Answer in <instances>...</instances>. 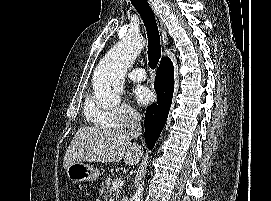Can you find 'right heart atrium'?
<instances>
[{
    "mask_svg": "<svg viewBox=\"0 0 271 201\" xmlns=\"http://www.w3.org/2000/svg\"><path fill=\"white\" fill-rule=\"evenodd\" d=\"M87 116L92 123L105 127L127 128L136 125L141 120L139 111L128 104L108 111L99 107L93 100L88 103Z\"/></svg>",
    "mask_w": 271,
    "mask_h": 201,
    "instance_id": "d8ad5b80",
    "label": "right heart atrium"
}]
</instances>
